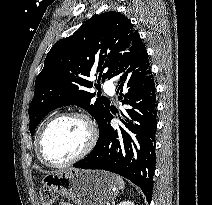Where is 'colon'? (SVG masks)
<instances>
[{
	"mask_svg": "<svg viewBox=\"0 0 212 205\" xmlns=\"http://www.w3.org/2000/svg\"><path fill=\"white\" fill-rule=\"evenodd\" d=\"M55 201V195L50 188L44 187L40 192L41 205H53Z\"/></svg>",
	"mask_w": 212,
	"mask_h": 205,
	"instance_id": "colon-1",
	"label": "colon"
}]
</instances>
